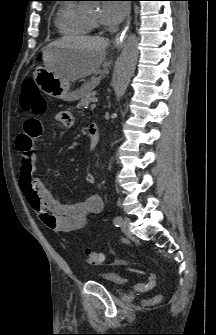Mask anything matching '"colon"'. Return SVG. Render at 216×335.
Returning <instances> with one entry per match:
<instances>
[{"label":"colon","mask_w":216,"mask_h":335,"mask_svg":"<svg viewBox=\"0 0 216 335\" xmlns=\"http://www.w3.org/2000/svg\"><path fill=\"white\" fill-rule=\"evenodd\" d=\"M20 104L24 111L34 114H42L46 110V100L37 84L31 79H27L23 82ZM84 257L88 264L94 266L100 265L104 261V255L91 248L84 250Z\"/></svg>","instance_id":"colon-1"}]
</instances>
